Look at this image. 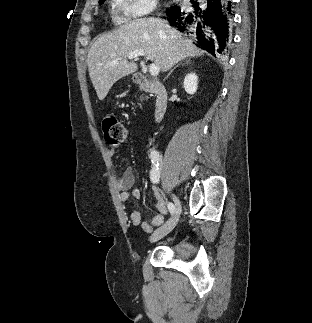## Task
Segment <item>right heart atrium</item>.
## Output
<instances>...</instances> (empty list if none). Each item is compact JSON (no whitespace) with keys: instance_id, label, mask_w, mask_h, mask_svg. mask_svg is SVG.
Returning a JSON list of instances; mask_svg holds the SVG:
<instances>
[{"instance_id":"obj_1","label":"right heart atrium","mask_w":312,"mask_h":323,"mask_svg":"<svg viewBox=\"0 0 312 323\" xmlns=\"http://www.w3.org/2000/svg\"><path fill=\"white\" fill-rule=\"evenodd\" d=\"M120 9L128 13V17H143V13H156L162 9V0H121Z\"/></svg>"}]
</instances>
